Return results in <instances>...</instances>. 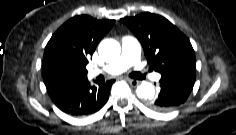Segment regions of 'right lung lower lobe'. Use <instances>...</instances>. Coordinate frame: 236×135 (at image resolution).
I'll return each instance as SVG.
<instances>
[{"label": "right lung lower lobe", "mask_w": 236, "mask_h": 135, "mask_svg": "<svg viewBox=\"0 0 236 135\" xmlns=\"http://www.w3.org/2000/svg\"><path fill=\"white\" fill-rule=\"evenodd\" d=\"M43 79L56 106L72 116H87L99 111L107 102L114 80L90 85L87 75L73 74L48 67Z\"/></svg>", "instance_id": "1"}]
</instances>
